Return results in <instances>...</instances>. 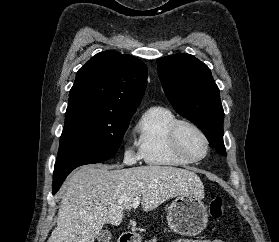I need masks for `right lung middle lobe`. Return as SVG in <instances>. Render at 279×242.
<instances>
[{"label":"right lung middle lobe","mask_w":279,"mask_h":242,"mask_svg":"<svg viewBox=\"0 0 279 242\" xmlns=\"http://www.w3.org/2000/svg\"><path fill=\"white\" fill-rule=\"evenodd\" d=\"M131 117L92 118L66 114L54 167L53 182L76 167L106 161L115 156Z\"/></svg>","instance_id":"dd1d6c3e"}]
</instances>
